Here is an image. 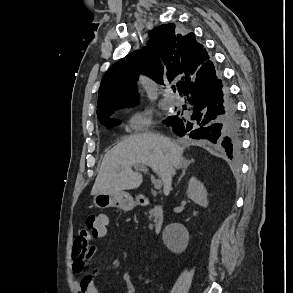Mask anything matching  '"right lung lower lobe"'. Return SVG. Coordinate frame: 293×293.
I'll list each match as a JSON object with an SVG mask.
<instances>
[{"mask_svg":"<svg viewBox=\"0 0 293 293\" xmlns=\"http://www.w3.org/2000/svg\"><path fill=\"white\" fill-rule=\"evenodd\" d=\"M181 93L188 102L189 118L172 116L165 123L180 137L218 144L232 159L240 149V123L214 64L207 61Z\"/></svg>","mask_w":293,"mask_h":293,"instance_id":"1","label":"right lung lower lobe"}]
</instances>
